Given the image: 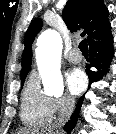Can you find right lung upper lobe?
<instances>
[{"label":"right lung upper lobe","instance_id":"1","mask_svg":"<svg viewBox=\"0 0 116 134\" xmlns=\"http://www.w3.org/2000/svg\"><path fill=\"white\" fill-rule=\"evenodd\" d=\"M108 13L103 0H68L63 9L62 17L71 32H76L83 28L82 35L87 34L90 44L93 42V39L100 38L111 29ZM41 28L42 22L38 18L32 21L25 33L21 77H26L30 70L32 43Z\"/></svg>","mask_w":116,"mask_h":134}]
</instances>
